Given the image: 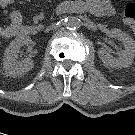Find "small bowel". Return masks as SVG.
Here are the masks:
<instances>
[{"label":"small bowel","instance_id":"1","mask_svg":"<svg viewBox=\"0 0 135 135\" xmlns=\"http://www.w3.org/2000/svg\"><path fill=\"white\" fill-rule=\"evenodd\" d=\"M15 0H0L1 7H7L13 4ZM88 10L95 16H111L114 14V7L110 0H85ZM22 15L14 11L9 16V24L0 26V37L11 38L17 35H23L24 27L22 25Z\"/></svg>","mask_w":135,"mask_h":135}]
</instances>
